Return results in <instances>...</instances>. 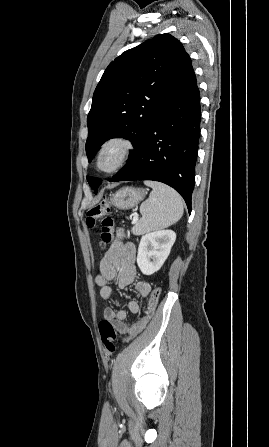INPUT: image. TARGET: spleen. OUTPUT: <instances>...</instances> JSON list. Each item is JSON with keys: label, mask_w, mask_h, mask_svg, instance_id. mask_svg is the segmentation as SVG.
<instances>
[{"label": "spleen", "mask_w": 269, "mask_h": 447, "mask_svg": "<svg viewBox=\"0 0 269 447\" xmlns=\"http://www.w3.org/2000/svg\"><path fill=\"white\" fill-rule=\"evenodd\" d=\"M144 184L150 186L153 192L149 200L140 206L142 218L132 227L134 235H142L154 229H163L176 224L184 212L183 200L173 188L161 182H144Z\"/></svg>", "instance_id": "3e777b00"}]
</instances>
